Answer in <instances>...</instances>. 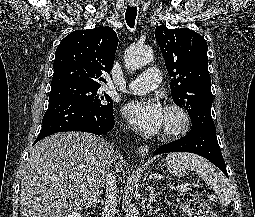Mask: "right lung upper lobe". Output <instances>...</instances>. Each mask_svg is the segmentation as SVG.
<instances>
[{
	"label": "right lung upper lobe",
	"instance_id": "obj_1",
	"mask_svg": "<svg viewBox=\"0 0 255 217\" xmlns=\"http://www.w3.org/2000/svg\"><path fill=\"white\" fill-rule=\"evenodd\" d=\"M118 38L111 27L75 30L58 45L51 87L80 84L101 87L114 64Z\"/></svg>",
	"mask_w": 255,
	"mask_h": 217
}]
</instances>
